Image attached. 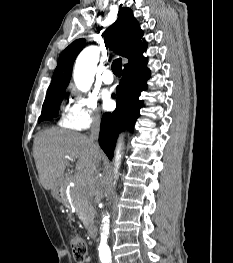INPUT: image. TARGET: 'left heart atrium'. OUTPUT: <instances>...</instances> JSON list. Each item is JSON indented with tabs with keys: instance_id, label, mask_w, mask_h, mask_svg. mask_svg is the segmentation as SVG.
<instances>
[{
	"instance_id": "obj_1",
	"label": "left heart atrium",
	"mask_w": 233,
	"mask_h": 263,
	"mask_svg": "<svg viewBox=\"0 0 233 263\" xmlns=\"http://www.w3.org/2000/svg\"><path fill=\"white\" fill-rule=\"evenodd\" d=\"M114 105V101L108 91L102 93V107L104 110H110Z\"/></svg>"
}]
</instances>
